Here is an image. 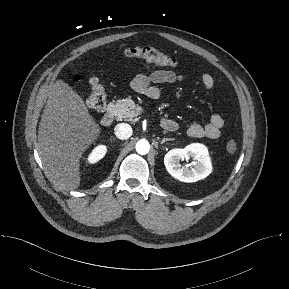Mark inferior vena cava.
I'll list each match as a JSON object with an SVG mask.
<instances>
[{
    "label": "inferior vena cava",
    "mask_w": 289,
    "mask_h": 289,
    "mask_svg": "<svg viewBox=\"0 0 289 289\" xmlns=\"http://www.w3.org/2000/svg\"><path fill=\"white\" fill-rule=\"evenodd\" d=\"M115 135L121 140L128 139L132 135V128L127 123H120L115 126Z\"/></svg>",
    "instance_id": "inferior-vena-cava-1"
}]
</instances>
